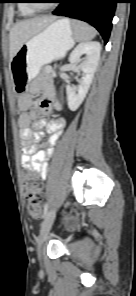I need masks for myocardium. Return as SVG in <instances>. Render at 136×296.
Here are the masks:
<instances>
[{
  "label": "myocardium",
  "mask_w": 136,
  "mask_h": 296,
  "mask_svg": "<svg viewBox=\"0 0 136 296\" xmlns=\"http://www.w3.org/2000/svg\"><path fill=\"white\" fill-rule=\"evenodd\" d=\"M29 2V6L35 10H44L48 8L47 4L39 3L37 0H27Z\"/></svg>",
  "instance_id": "obj_1"
}]
</instances>
